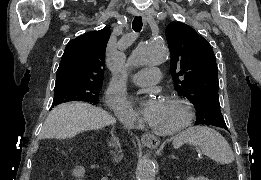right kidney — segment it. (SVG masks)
<instances>
[{
    "mask_svg": "<svg viewBox=\"0 0 261 180\" xmlns=\"http://www.w3.org/2000/svg\"><path fill=\"white\" fill-rule=\"evenodd\" d=\"M85 172L83 168H77V170H74V176H78V178H83Z\"/></svg>",
    "mask_w": 261,
    "mask_h": 180,
    "instance_id": "ca27d5eb",
    "label": "right kidney"
}]
</instances>
